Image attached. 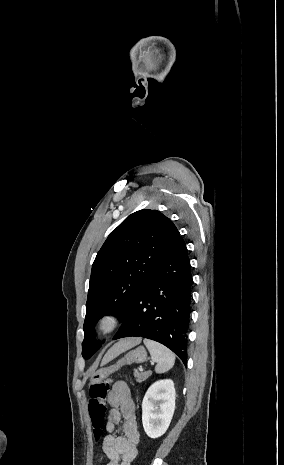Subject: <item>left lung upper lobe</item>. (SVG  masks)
Listing matches in <instances>:
<instances>
[{
  "label": "left lung upper lobe",
  "mask_w": 284,
  "mask_h": 465,
  "mask_svg": "<svg viewBox=\"0 0 284 465\" xmlns=\"http://www.w3.org/2000/svg\"><path fill=\"white\" fill-rule=\"evenodd\" d=\"M180 233L157 210H139L115 228L99 250L91 271L82 355L100 347L93 327L104 315L124 318L132 300L176 244Z\"/></svg>",
  "instance_id": "obj_1"
}]
</instances>
